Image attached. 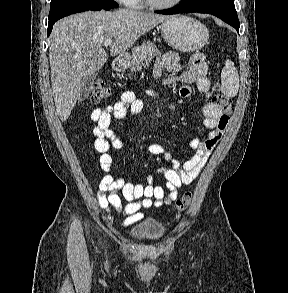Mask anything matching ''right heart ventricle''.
Returning <instances> with one entry per match:
<instances>
[{
  "instance_id": "right-heart-ventricle-1",
  "label": "right heart ventricle",
  "mask_w": 288,
  "mask_h": 293,
  "mask_svg": "<svg viewBox=\"0 0 288 293\" xmlns=\"http://www.w3.org/2000/svg\"><path fill=\"white\" fill-rule=\"evenodd\" d=\"M128 5L137 9L143 7L142 0H132Z\"/></svg>"
}]
</instances>
